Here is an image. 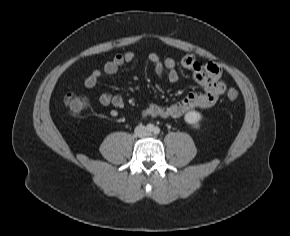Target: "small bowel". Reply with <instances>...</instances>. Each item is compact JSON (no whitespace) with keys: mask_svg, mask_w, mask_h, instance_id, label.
Segmentation results:
<instances>
[{"mask_svg":"<svg viewBox=\"0 0 290 236\" xmlns=\"http://www.w3.org/2000/svg\"><path fill=\"white\" fill-rule=\"evenodd\" d=\"M136 59L133 52L117 54L107 61L103 69L93 70L85 79L87 88H93L99 80L106 75H114L126 63H132ZM148 60L153 64L155 74L159 77L166 76L169 82L177 83L180 79L178 64L190 70L196 82L201 86V91L190 92L179 102L168 105H150L142 111L144 117L179 118L194 109H208L216 104L225 90L224 81L221 79V68L214 63H199L192 55H184L179 63L167 58L162 60L157 54L151 53ZM99 102L103 106L123 108V98L117 94L103 93L99 96Z\"/></svg>","mask_w":290,"mask_h":236,"instance_id":"small-bowel-1","label":"small bowel"}]
</instances>
